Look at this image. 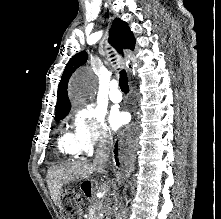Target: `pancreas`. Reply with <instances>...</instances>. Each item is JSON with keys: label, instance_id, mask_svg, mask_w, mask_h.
<instances>
[{"label": "pancreas", "instance_id": "pancreas-1", "mask_svg": "<svg viewBox=\"0 0 221 219\" xmlns=\"http://www.w3.org/2000/svg\"><path fill=\"white\" fill-rule=\"evenodd\" d=\"M87 219H99L97 214V208L92 207L89 209Z\"/></svg>", "mask_w": 221, "mask_h": 219}]
</instances>
